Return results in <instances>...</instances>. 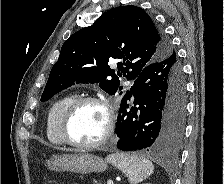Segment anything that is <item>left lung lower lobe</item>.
<instances>
[{"label": "left lung lower lobe", "instance_id": "obj_1", "mask_svg": "<svg viewBox=\"0 0 224 184\" xmlns=\"http://www.w3.org/2000/svg\"><path fill=\"white\" fill-rule=\"evenodd\" d=\"M122 98L116 123L117 147L171 153L184 134L186 85L176 54L146 66ZM134 97L130 110L128 101Z\"/></svg>", "mask_w": 224, "mask_h": 184}]
</instances>
